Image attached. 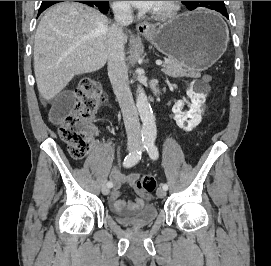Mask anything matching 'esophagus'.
Segmentation results:
<instances>
[{
  "instance_id": "obj_1",
  "label": "esophagus",
  "mask_w": 271,
  "mask_h": 266,
  "mask_svg": "<svg viewBox=\"0 0 271 266\" xmlns=\"http://www.w3.org/2000/svg\"><path fill=\"white\" fill-rule=\"evenodd\" d=\"M137 30L140 33H148L151 32L153 28L148 22H141L137 25Z\"/></svg>"
}]
</instances>
